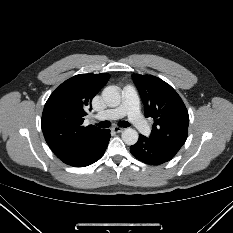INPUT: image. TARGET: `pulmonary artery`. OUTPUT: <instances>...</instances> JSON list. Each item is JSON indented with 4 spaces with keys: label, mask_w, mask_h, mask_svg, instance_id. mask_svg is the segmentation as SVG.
Here are the masks:
<instances>
[{
    "label": "pulmonary artery",
    "mask_w": 233,
    "mask_h": 233,
    "mask_svg": "<svg viewBox=\"0 0 233 233\" xmlns=\"http://www.w3.org/2000/svg\"><path fill=\"white\" fill-rule=\"evenodd\" d=\"M127 116L129 121L143 135L150 133V126L140 113V101L136 88L128 85L124 88L123 99L118 107L107 109L96 115L98 120H116Z\"/></svg>",
    "instance_id": "obj_1"
}]
</instances>
